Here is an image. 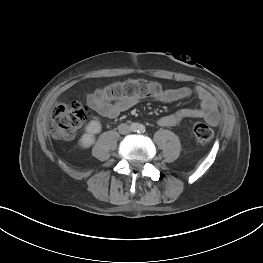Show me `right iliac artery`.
Wrapping results in <instances>:
<instances>
[{
	"label": "right iliac artery",
	"instance_id": "82829eb1",
	"mask_svg": "<svg viewBox=\"0 0 263 263\" xmlns=\"http://www.w3.org/2000/svg\"><path fill=\"white\" fill-rule=\"evenodd\" d=\"M138 128H139V126H138V124H136V123H133V124L131 125V129H132L133 131H136Z\"/></svg>",
	"mask_w": 263,
	"mask_h": 263
}]
</instances>
